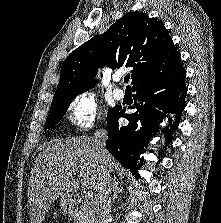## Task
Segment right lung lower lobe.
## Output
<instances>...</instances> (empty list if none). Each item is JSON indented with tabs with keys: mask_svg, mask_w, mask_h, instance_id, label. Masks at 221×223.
<instances>
[{
	"mask_svg": "<svg viewBox=\"0 0 221 223\" xmlns=\"http://www.w3.org/2000/svg\"><path fill=\"white\" fill-rule=\"evenodd\" d=\"M185 77L186 71L181 66L160 79L137 83L133 86V91L137 92L135 103L129 107L136 108L137 111L125 114V109L120 107L108 118L109 136L106 148L136 177L143 164L140 154L157 131L159 122L169 115L171 127H177L179 124L187 93ZM120 117L128 119L127 126L119 125ZM171 131L172 128L166 132V144L172 140Z\"/></svg>",
	"mask_w": 221,
	"mask_h": 223,
	"instance_id": "right-lung-lower-lobe-1",
	"label": "right lung lower lobe"
}]
</instances>
